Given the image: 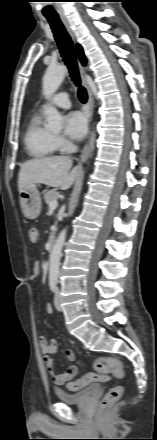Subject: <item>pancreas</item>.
Returning a JSON list of instances; mask_svg holds the SVG:
<instances>
[{
  "label": "pancreas",
  "instance_id": "pancreas-1",
  "mask_svg": "<svg viewBox=\"0 0 157 440\" xmlns=\"http://www.w3.org/2000/svg\"><path fill=\"white\" fill-rule=\"evenodd\" d=\"M57 198H58V192L56 189L49 190L44 194V200L47 205H49L50 202L57 200Z\"/></svg>",
  "mask_w": 157,
  "mask_h": 440
}]
</instances>
